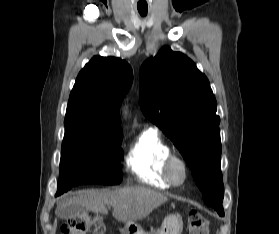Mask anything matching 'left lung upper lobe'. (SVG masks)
<instances>
[{"mask_svg":"<svg viewBox=\"0 0 279 234\" xmlns=\"http://www.w3.org/2000/svg\"><path fill=\"white\" fill-rule=\"evenodd\" d=\"M140 107L181 152L205 204L224 216L220 118L207 77L187 56L163 47L140 68Z\"/></svg>","mask_w":279,"mask_h":234,"instance_id":"1","label":"left lung upper lobe"}]
</instances>
